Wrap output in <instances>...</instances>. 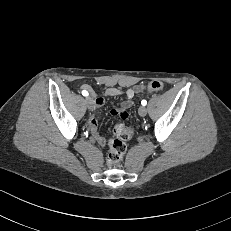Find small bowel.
I'll use <instances>...</instances> for the list:
<instances>
[{
  "label": "small bowel",
  "mask_w": 231,
  "mask_h": 231,
  "mask_svg": "<svg viewBox=\"0 0 231 231\" xmlns=\"http://www.w3.org/2000/svg\"><path fill=\"white\" fill-rule=\"evenodd\" d=\"M81 89L83 91H87L92 94L96 107H101L104 104L105 97H118V96L124 97L125 101L123 102L122 107L120 109L111 110L110 113L112 116H120L122 113H126L125 109L131 106L132 99L135 96V90L131 88L122 89L118 87H109L105 89L103 93L100 95L96 94L89 84L81 85ZM88 124H89V129L95 140L100 145H105L106 139L99 134L97 120L94 115L90 117Z\"/></svg>",
  "instance_id": "small-bowel-1"
}]
</instances>
